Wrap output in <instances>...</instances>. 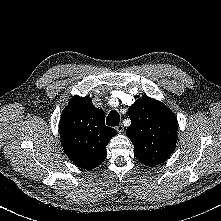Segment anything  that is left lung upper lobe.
I'll use <instances>...</instances> for the list:
<instances>
[{"mask_svg":"<svg viewBox=\"0 0 221 221\" xmlns=\"http://www.w3.org/2000/svg\"><path fill=\"white\" fill-rule=\"evenodd\" d=\"M131 125L126 135L134 144V155L143 164L165 162L177 143L178 124L174 113L162 102L139 98L128 111Z\"/></svg>","mask_w":221,"mask_h":221,"instance_id":"5c2ea615","label":"left lung upper lobe"}]
</instances>
